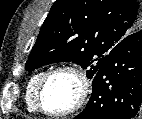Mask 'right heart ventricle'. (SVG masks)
<instances>
[{"label": "right heart ventricle", "mask_w": 142, "mask_h": 119, "mask_svg": "<svg viewBox=\"0 0 142 119\" xmlns=\"http://www.w3.org/2000/svg\"><path fill=\"white\" fill-rule=\"evenodd\" d=\"M45 74H46V71H40L34 74L26 85L25 100H26L28 109L32 112L38 111L37 104H36V93H37L39 84Z\"/></svg>", "instance_id": "right-heart-ventricle-1"}]
</instances>
